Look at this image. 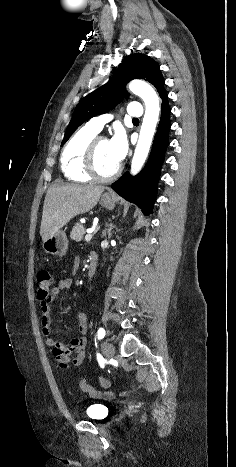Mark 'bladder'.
<instances>
[{"label":"bladder","instance_id":"obj_1","mask_svg":"<svg viewBox=\"0 0 236 467\" xmlns=\"http://www.w3.org/2000/svg\"><path fill=\"white\" fill-rule=\"evenodd\" d=\"M105 408V409H103ZM108 414V407L105 405L101 404H91L87 409H86V415L91 419V420H102L105 418Z\"/></svg>","mask_w":236,"mask_h":467}]
</instances>
